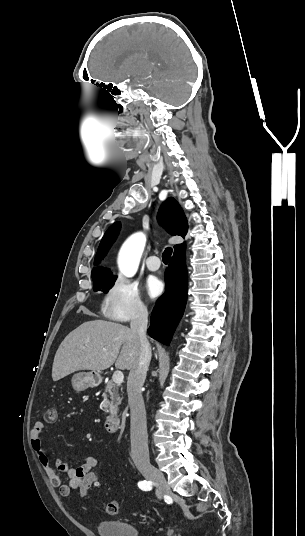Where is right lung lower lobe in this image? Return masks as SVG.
<instances>
[{
    "label": "right lung lower lobe",
    "instance_id": "98d812e1",
    "mask_svg": "<svg viewBox=\"0 0 305 536\" xmlns=\"http://www.w3.org/2000/svg\"><path fill=\"white\" fill-rule=\"evenodd\" d=\"M166 289L151 315L149 335L169 345L173 332L183 315L187 299L185 252L173 255L165 272Z\"/></svg>",
    "mask_w": 305,
    "mask_h": 536
}]
</instances>
